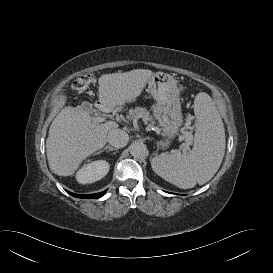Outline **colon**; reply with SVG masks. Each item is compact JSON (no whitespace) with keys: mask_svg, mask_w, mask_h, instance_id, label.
Here are the masks:
<instances>
[{"mask_svg":"<svg viewBox=\"0 0 273 273\" xmlns=\"http://www.w3.org/2000/svg\"><path fill=\"white\" fill-rule=\"evenodd\" d=\"M93 78L94 76L91 73L77 78L72 84L73 90L76 92H84L92 83Z\"/></svg>","mask_w":273,"mask_h":273,"instance_id":"obj_1","label":"colon"}]
</instances>
